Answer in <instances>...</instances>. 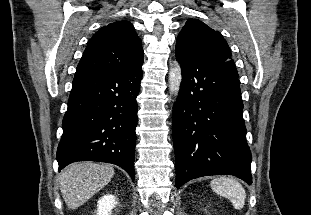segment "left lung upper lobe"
Listing matches in <instances>:
<instances>
[{"label": "left lung upper lobe", "mask_w": 311, "mask_h": 215, "mask_svg": "<svg viewBox=\"0 0 311 215\" xmlns=\"http://www.w3.org/2000/svg\"><path fill=\"white\" fill-rule=\"evenodd\" d=\"M177 39L225 65L239 77L231 50L218 31L211 29L199 20L189 19Z\"/></svg>", "instance_id": "5c2ea615"}]
</instances>
